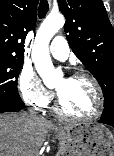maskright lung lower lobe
I'll use <instances>...</instances> for the list:
<instances>
[{
  "instance_id": "1",
  "label": "right lung lower lobe",
  "mask_w": 114,
  "mask_h": 156,
  "mask_svg": "<svg viewBox=\"0 0 114 156\" xmlns=\"http://www.w3.org/2000/svg\"><path fill=\"white\" fill-rule=\"evenodd\" d=\"M23 107H24V104L14 105V104H9V103H0V113L20 111Z\"/></svg>"
}]
</instances>
